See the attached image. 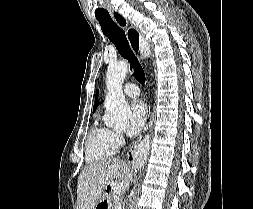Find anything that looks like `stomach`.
Here are the masks:
<instances>
[{
	"label": "stomach",
	"instance_id": "obj_1",
	"mask_svg": "<svg viewBox=\"0 0 253 209\" xmlns=\"http://www.w3.org/2000/svg\"><path fill=\"white\" fill-rule=\"evenodd\" d=\"M112 182L101 181L103 191H98V199L95 202V209H114V202L112 199L114 188Z\"/></svg>",
	"mask_w": 253,
	"mask_h": 209
}]
</instances>
